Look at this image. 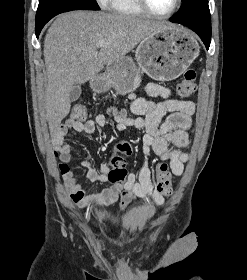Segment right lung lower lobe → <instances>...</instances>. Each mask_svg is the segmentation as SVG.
<instances>
[{"label":"right lung lower lobe","mask_w":247,"mask_h":280,"mask_svg":"<svg viewBox=\"0 0 247 280\" xmlns=\"http://www.w3.org/2000/svg\"><path fill=\"white\" fill-rule=\"evenodd\" d=\"M44 25H45V24H42V25H37V24H36L35 31H36V36H37V38H38V36H39V34H40V31L42 30V28H43Z\"/></svg>","instance_id":"obj_1"}]
</instances>
